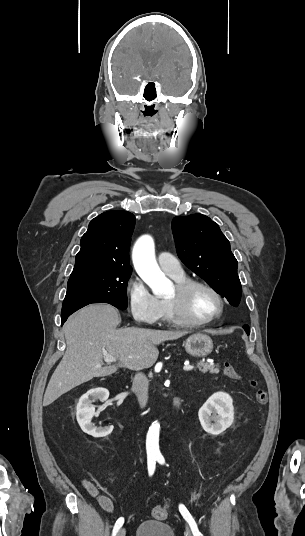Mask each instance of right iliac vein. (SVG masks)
I'll use <instances>...</instances> for the list:
<instances>
[{
	"label": "right iliac vein",
	"instance_id": "right-iliac-vein-1",
	"mask_svg": "<svg viewBox=\"0 0 305 536\" xmlns=\"http://www.w3.org/2000/svg\"><path fill=\"white\" fill-rule=\"evenodd\" d=\"M117 536H125V529H124V528H121V529L118 531Z\"/></svg>",
	"mask_w": 305,
	"mask_h": 536
}]
</instances>
